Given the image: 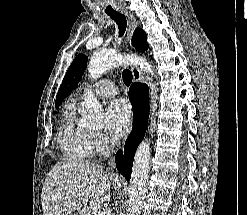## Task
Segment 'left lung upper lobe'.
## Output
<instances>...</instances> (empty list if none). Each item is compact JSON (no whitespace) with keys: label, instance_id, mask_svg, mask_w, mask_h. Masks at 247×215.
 Here are the masks:
<instances>
[{"label":"left lung upper lobe","instance_id":"left-lung-upper-lobe-1","mask_svg":"<svg viewBox=\"0 0 247 215\" xmlns=\"http://www.w3.org/2000/svg\"><path fill=\"white\" fill-rule=\"evenodd\" d=\"M146 39V33L142 29L137 28L133 35L132 44L137 50L143 52L148 49ZM86 66L87 57L84 54H80L74 59L57 93L55 101L56 108H58L61 102L77 87L85 72Z\"/></svg>","mask_w":247,"mask_h":215}]
</instances>
